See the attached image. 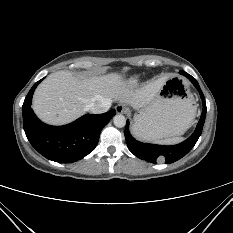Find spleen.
Instances as JSON below:
<instances>
[{"label":"spleen","mask_w":233,"mask_h":233,"mask_svg":"<svg viewBox=\"0 0 233 233\" xmlns=\"http://www.w3.org/2000/svg\"><path fill=\"white\" fill-rule=\"evenodd\" d=\"M132 132L137 137V135L135 134V127L134 126L132 127ZM182 140H183L182 137H173V138H168V139H165L163 141H160L159 143H161V144H176V143L181 142Z\"/></svg>","instance_id":"1"}]
</instances>
